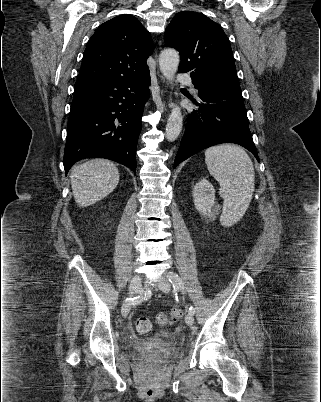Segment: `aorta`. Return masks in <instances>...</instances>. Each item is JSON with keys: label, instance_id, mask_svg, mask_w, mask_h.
Here are the masks:
<instances>
[{"label": "aorta", "instance_id": "aorta-1", "mask_svg": "<svg viewBox=\"0 0 321 402\" xmlns=\"http://www.w3.org/2000/svg\"><path fill=\"white\" fill-rule=\"evenodd\" d=\"M180 57L175 49H165L159 56V67L163 76L172 82L179 66ZM183 117L181 109L174 106L167 120L166 138L168 141H174L182 131Z\"/></svg>", "mask_w": 321, "mask_h": 402}]
</instances>
